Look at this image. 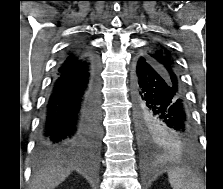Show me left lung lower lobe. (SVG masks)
Returning a JSON list of instances; mask_svg holds the SVG:
<instances>
[{
    "label": "left lung lower lobe",
    "mask_w": 223,
    "mask_h": 189,
    "mask_svg": "<svg viewBox=\"0 0 223 189\" xmlns=\"http://www.w3.org/2000/svg\"><path fill=\"white\" fill-rule=\"evenodd\" d=\"M133 97L138 129L159 124L170 130L185 146H192L197 135L182 87L155 65L137 60Z\"/></svg>",
    "instance_id": "left-lung-lower-lobe-1"
}]
</instances>
